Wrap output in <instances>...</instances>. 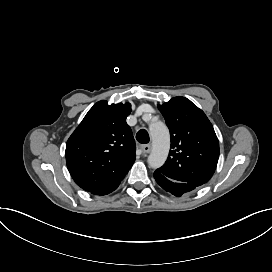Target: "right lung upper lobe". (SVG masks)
Instances as JSON below:
<instances>
[{"label":"right lung upper lobe","mask_w":272,"mask_h":272,"mask_svg":"<svg viewBox=\"0 0 272 272\" xmlns=\"http://www.w3.org/2000/svg\"><path fill=\"white\" fill-rule=\"evenodd\" d=\"M130 103L99 101L66 144V164L75 183L92 194L118 185L135 161V141L126 117Z\"/></svg>","instance_id":"right-lung-upper-lobe-1"}]
</instances>
